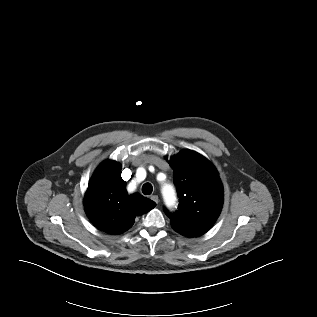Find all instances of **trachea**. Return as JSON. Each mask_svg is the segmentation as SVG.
<instances>
[{
  "label": "trachea",
  "instance_id": "3493384b",
  "mask_svg": "<svg viewBox=\"0 0 317 317\" xmlns=\"http://www.w3.org/2000/svg\"><path fill=\"white\" fill-rule=\"evenodd\" d=\"M153 191V187L150 183H145L143 186H142V192L144 195H150Z\"/></svg>",
  "mask_w": 317,
  "mask_h": 317
}]
</instances>
